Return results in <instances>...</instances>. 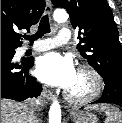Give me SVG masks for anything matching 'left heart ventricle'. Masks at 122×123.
I'll use <instances>...</instances> for the list:
<instances>
[{
  "mask_svg": "<svg viewBox=\"0 0 122 123\" xmlns=\"http://www.w3.org/2000/svg\"><path fill=\"white\" fill-rule=\"evenodd\" d=\"M92 88V78L86 72H77L75 81L69 91L74 95H84Z\"/></svg>",
  "mask_w": 122,
  "mask_h": 123,
  "instance_id": "b2bd125f",
  "label": "left heart ventricle"
}]
</instances>
